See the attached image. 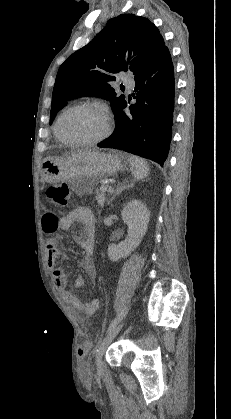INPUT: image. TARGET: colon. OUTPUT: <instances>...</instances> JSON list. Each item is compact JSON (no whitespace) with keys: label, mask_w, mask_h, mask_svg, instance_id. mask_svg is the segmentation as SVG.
<instances>
[{"label":"colon","mask_w":231,"mask_h":419,"mask_svg":"<svg viewBox=\"0 0 231 419\" xmlns=\"http://www.w3.org/2000/svg\"><path fill=\"white\" fill-rule=\"evenodd\" d=\"M46 195L48 199L57 207L64 208L69 202L70 190L67 184H55L47 188ZM89 341L82 345V348H86Z\"/></svg>","instance_id":"1"}]
</instances>
